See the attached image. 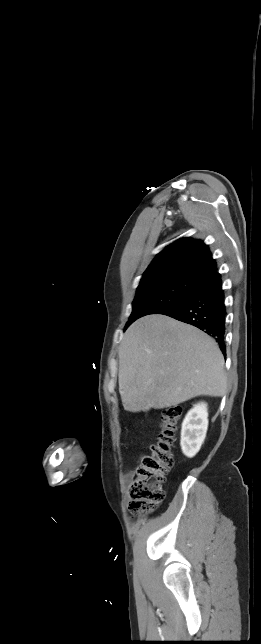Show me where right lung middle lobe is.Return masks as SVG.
Segmentation results:
<instances>
[{
	"label": "right lung middle lobe",
	"mask_w": 261,
	"mask_h": 644,
	"mask_svg": "<svg viewBox=\"0 0 261 644\" xmlns=\"http://www.w3.org/2000/svg\"><path fill=\"white\" fill-rule=\"evenodd\" d=\"M197 282L170 278L139 285L133 310L126 328L138 318L148 314H161L183 302L194 290Z\"/></svg>",
	"instance_id": "dd1d6c3e"
}]
</instances>
